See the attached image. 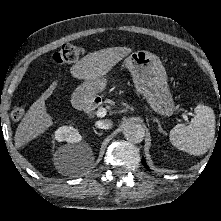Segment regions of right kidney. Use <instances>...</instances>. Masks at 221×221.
Wrapping results in <instances>:
<instances>
[{
  "instance_id": "ca27d5eb",
  "label": "right kidney",
  "mask_w": 221,
  "mask_h": 221,
  "mask_svg": "<svg viewBox=\"0 0 221 221\" xmlns=\"http://www.w3.org/2000/svg\"><path fill=\"white\" fill-rule=\"evenodd\" d=\"M55 139L58 142L78 143L82 140L81 134L72 126H62L55 131Z\"/></svg>"
}]
</instances>
